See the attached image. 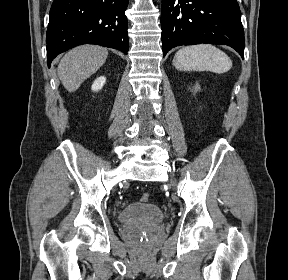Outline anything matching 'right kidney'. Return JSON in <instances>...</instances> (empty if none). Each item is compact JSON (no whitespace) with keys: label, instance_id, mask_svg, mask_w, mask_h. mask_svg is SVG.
Masks as SVG:
<instances>
[{"label":"right kidney","instance_id":"1","mask_svg":"<svg viewBox=\"0 0 288 280\" xmlns=\"http://www.w3.org/2000/svg\"><path fill=\"white\" fill-rule=\"evenodd\" d=\"M105 82H106V78L104 76L98 77L92 85V90L98 91V90L102 89Z\"/></svg>","mask_w":288,"mask_h":280}]
</instances>
